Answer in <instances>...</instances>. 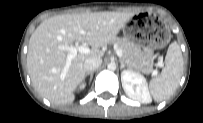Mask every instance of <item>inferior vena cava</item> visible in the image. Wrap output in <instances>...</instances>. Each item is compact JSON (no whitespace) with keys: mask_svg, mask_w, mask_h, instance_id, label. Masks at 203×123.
<instances>
[{"mask_svg":"<svg viewBox=\"0 0 203 123\" xmlns=\"http://www.w3.org/2000/svg\"><path fill=\"white\" fill-rule=\"evenodd\" d=\"M102 64L100 57L88 58L84 61V68L87 72L96 70Z\"/></svg>","mask_w":203,"mask_h":123,"instance_id":"602c4592","label":"inferior vena cava"}]
</instances>
